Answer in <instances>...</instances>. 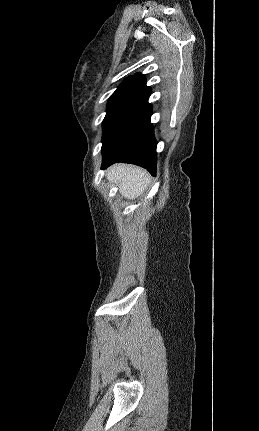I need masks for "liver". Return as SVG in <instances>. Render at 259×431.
I'll use <instances>...</instances> for the list:
<instances>
[{
    "label": "liver",
    "instance_id": "1",
    "mask_svg": "<svg viewBox=\"0 0 259 431\" xmlns=\"http://www.w3.org/2000/svg\"><path fill=\"white\" fill-rule=\"evenodd\" d=\"M107 179L116 183L121 195L128 199L141 196L151 181L146 170L127 164L111 166L107 171Z\"/></svg>",
    "mask_w": 259,
    "mask_h": 431
}]
</instances>
